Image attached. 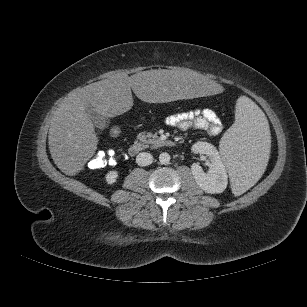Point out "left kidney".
I'll return each instance as SVG.
<instances>
[{"label": "left kidney", "instance_id": "1", "mask_svg": "<svg viewBox=\"0 0 307 307\" xmlns=\"http://www.w3.org/2000/svg\"><path fill=\"white\" fill-rule=\"evenodd\" d=\"M192 151L205 154L211 161L207 173L202 170L198 163L192 164L191 171L196 183L207 193H222L227 187L228 175L217 149L208 142H197L192 146Z\"/></svg>", "mask_w": 307, "mask_h": 307}]
</instances>
